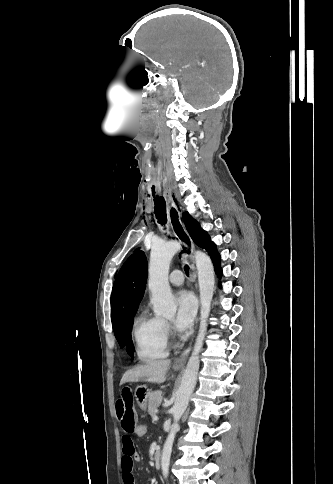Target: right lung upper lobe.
Here are the masks:
<instances>
[{"label":"right lung upper lobe","instance_id":"cb5924a9","mask_svg":"<svg viewBox=\"0 0 333 484\" xmlns=\"http://www.w3.org/2000/svg\"><path fill=\"white\" fill-rule=\"evenodd\" d=\"M146 278V256L143 251H137L124 263L113 285L111 295L113 329L136 312L144 295Z\"/></svg>","mask_w":333,"mask_h":484}]
</instances>
